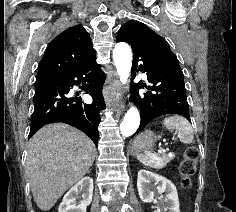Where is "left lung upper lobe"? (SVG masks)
Returning <instances> with one entry per match:
<instances>
[{
    "instance_id": "5c2ea615",
    "label": "left lung upper lobe",
    "mask_w": 236,
    "mask_h": 212,
    "mask_svg": "<svg viewBox=\"0 0 236 212\" xmlns=\"http://www.w3.org/2000/svg\"><path fill=\"white\" fill-rule=\"evenodd\" d=\"M117 37L126 38L133 48L172 52L169 44L164 38L138 21H129L125 23L118 31Z\"/></svg>"
}]
</instances>
